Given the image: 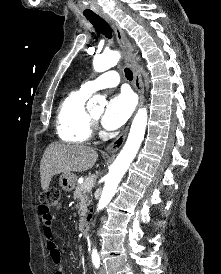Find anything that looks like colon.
I'll use <instances>...</instances> for the list:
<instances>
[{"mask_svg":"<svg viewBox=\"0 0 221 274\" xmlns=\"http://www.w3.org/2000/svg\"><path fill=\"white\" fill-rule=\"evenodd\" d=\"M41 204L49 208H58L61 205V195L58 189L50 188L40 196Z\"/></svg>","mask_w":221,"mask_h":274,"instance_id":"colon-1","label":"colon"}]
</instances>
